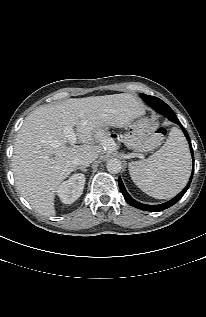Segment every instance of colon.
<instances>
[{"mask_svg": "<svg viewBox=\"0 0 206 317\" xmlns=\"http://www.w3.org/2000/svg\"><path fill=\"white\" fill-rule=\"evenodd\" d=\"M147 126L153 133L152 138L155 144L161 142L164 139L166 135V129L164 127L159 126L156 122L153 121H149L147 123Z\"/></svg>", "mask_w": 206, "mask_h": 317, "instance_id": "1", "label": "colon"}]
</instances>
